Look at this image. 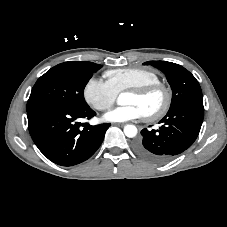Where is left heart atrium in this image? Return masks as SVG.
I'll list each match as a JSON object with an SVG mask.
<instances>
[{"label":"left heart atrium","mask_w":227,"mask_h":227,"mask_svg":"<svg viewBox=\"0 0 227 227\" xmlns=\"http://www.w3.org/2000/svg\"><path fill=\"white\" fill-rule=\"evenodd\" d=\"M142 110L133 104L116 107L104 115V119L111 122H126L143 117Z\"/></svg>","instance_id":"39dd6f15"}]
</instances>
